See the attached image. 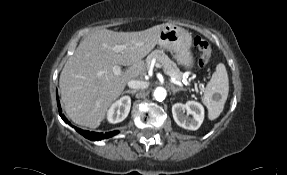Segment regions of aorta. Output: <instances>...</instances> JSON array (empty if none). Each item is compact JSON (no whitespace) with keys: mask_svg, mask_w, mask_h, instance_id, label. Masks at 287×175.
<instances>
[{"mask_svg":"<svg viewBox=\"0 0 287 175\" xmlns=\"http://www.w3.org/2000/svg\"><path fill=\"white\" fill-rule=\"evenodd\" d=\"M153 96L156 100L163 101L167 96V91L163 87H157L153 92Z\"/></svg>","mask_w":287,"mask_h":175,"instance_id":"762f6f07","label":"aorta"}]
</instances>
